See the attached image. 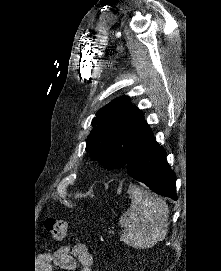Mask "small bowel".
<instances>
[{"label": "small bowel", "mask_w": 221, "mask_h": 271, "mask_svg": "<svg viewBox=\"0 0 221 271\" xmlns=\"http://www.w3.org/2000/svg\"><path fill=\"white\" fill-rule=\"evenodd\" d=\"M42 271H51V263L67 271H92L93 256L82 242L64 245L54 253H45L40 256Z\"/></svg>", "instance_id": "obj_1"}]
</instances>
